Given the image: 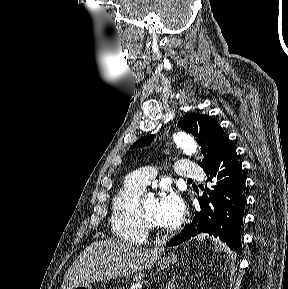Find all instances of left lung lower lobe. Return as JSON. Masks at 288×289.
Instances as JSON below:
<instances>
[{
    "label": "left lung lower lobe",
    "instance_id": "1",
    "mask_svg": "<svg viewBox=\"0 0 288 289\" xmlns=\"http://www.w3.org/2000/svg\"><path fill=\"white\" fill-rule=\"evenodd\" d=\"M203 169L210 183L203 188L205 194L198 198L200 210L195 212L192 223L167 245H179L203 232L219 237L232 250H238L246 205L245 181L242 166L229 138L211 163Z\"/></svg>",
    "mask_w": 288,
    "mask_h": 289
}]
</instances>
